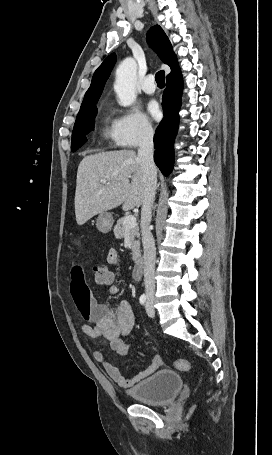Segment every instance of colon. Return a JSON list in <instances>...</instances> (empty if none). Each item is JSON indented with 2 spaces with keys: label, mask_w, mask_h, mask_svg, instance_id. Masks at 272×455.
<instances>
[{
  "label": "colon",
  "mask_w": 272,
  "mask_h": 455,
  "mask_svg": "<svg viewBox=\"0 0 272 455\" xmlns=\"http://www.w3.org/2000/svg\"><path fill=\"white\" fill-rule=\"evenodd\" d=\"M92 277L96 286H106L113 280L114 274L107 261L104 260L93 265ZM175 367L180 371H188L191 365L187 360L179 359L175 362Z\"/></svg>",
  "instance_id": "obj_1"
}]
</instances>
